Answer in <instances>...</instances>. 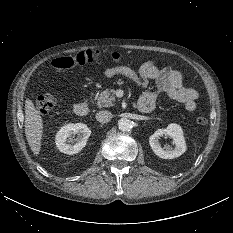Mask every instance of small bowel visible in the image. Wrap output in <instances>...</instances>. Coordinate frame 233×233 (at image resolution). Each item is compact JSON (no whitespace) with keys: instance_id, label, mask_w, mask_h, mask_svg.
I'll return each mask as SVG.
<instances>
[{"instance_id":"small-bowel-1","label":"small bowel","mask_w":233,"mask_h":233,"mask_svg":"<svg viewBox=\"0 0 233 233\" xmlns=\"http://www.w3.org/2000/svg\"><path fill=\"white\" fill-rule=\"evenodd\" d=\"M106 77L123 76L141 87H147L150 81L156 84L155 90L146 91L140 97L138 104H145L154 108L160 93H164L171 101L184 105L188 112H193L197 107L198 92L183 86L180 72L169 67L159 68L152 61L144 62L138 71L131 67L119 65L104 70Z\"/></svg>"}]
</instances>
